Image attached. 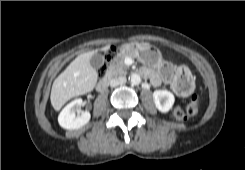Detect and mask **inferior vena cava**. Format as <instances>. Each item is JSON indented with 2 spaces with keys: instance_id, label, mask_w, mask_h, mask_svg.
<instances>
[{
  "instance_id": "obj_1",
  "label": "inferior vena cava",
  "mask_w": 245,
  "mask_h": 170,
  "mask_svg": "<svg viewBox=\"0 0 245 170\" xmlns=\"http://www.w3.org/2000/svg\"><path fill=\"white\" fill-rule=\"evenodd\" d=\"M127 81L125 76H119V77H115L113 79L110 80V86L111 87H116L118 85H123L125 84Z\"/></svg>"
}]
</instances>
